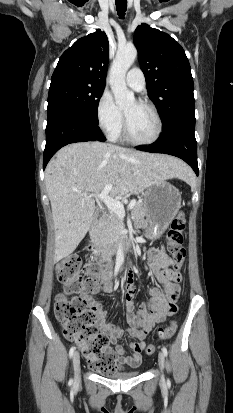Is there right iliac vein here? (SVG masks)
<instances>
[{"label": "right iliac vein", "instance_id": "63e3f726", "mask_svg": "<svg viewBox=\"0 0 233 413\" xmlns=\"http://www.w3.org/2000/svg\"><path fill=\"white\" fill-rule=\"evenodd\" d=\"M73 366L75 371V383L80 381V355L79 352H75L73 356Z\"/></svg>", "mask_w": 233, "mask_h": 413}]
</instances>
